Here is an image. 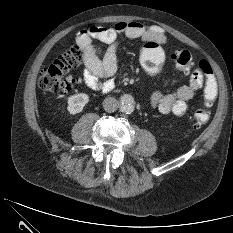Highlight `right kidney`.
<instances>
[{
	"mask_svg": "<svg viewBox=\"0 0 233 233\" xmlns=\"http://www.w3.org/2000/svg\"><path fill=\"white\" fill-rule=\"evenodd\" d=\"M89 102V97L85 93L75 94L68 98V111L70 114L80 113Z\"/></svg>",
	"mask_w": 233,
	"mask_h": 233,
	"instance_id": "ca27d5eb",
	"label": "right kidney"
}]
</instances>
